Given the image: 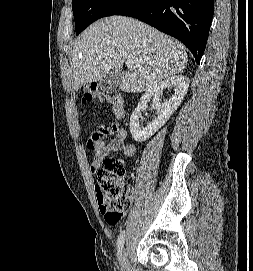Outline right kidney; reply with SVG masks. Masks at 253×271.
<instances>
[{
  "label": "right kidney",
  "mask_w": 253,
  "mask_h": 271,
  "mask_svg": "<svg viewBox=\"0 0 253 271\" xmlns=\"http://www.w3.org/2000/svg\"><path fill=\"white\" fill-rule=\"evenodd\" d=\"M188 87L189 79L186 76L175 75L148 89L141 97L138 106L130 117V132L133 139L137 142H143L157 132L180 106L188 91ZM165 88H174V94L169 100L160 103V96ZM152 97L154 98V108L157 111V117L148 123L146 127H140L139 118L142 112L146 110L147 103Z\"/></svg>",
  "instance_id": "right-kidney-1"
}]
</instances>
